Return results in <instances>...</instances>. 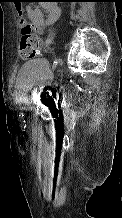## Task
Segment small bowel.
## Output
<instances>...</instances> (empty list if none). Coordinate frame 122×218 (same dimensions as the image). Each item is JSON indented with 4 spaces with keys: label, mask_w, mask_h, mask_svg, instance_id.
<instances>
[{
    "label": "small bowel",
    "mask_w": 122,
    "mask_h": 218,
    "mask_svg": "<svg viewBox=\"0 0 122 218\" xmlns=\"http://www.w3.org/2000/svg\"><path fill=\"white\" fill-rule=\"evenodd\" d=\"M23 12H25L27 19L31 22L37 33H42L47 25L54 23L60 16V9L53 2V0H44L42 3V8L27 7L25 11L21 10V25L26 22V19L23 16ZM45 13L47 14L46 19L44 17ZM38 55H41L40 52Z\"/></svg>",
    "instance_id": "c3829d8e"
}]
</instances>
